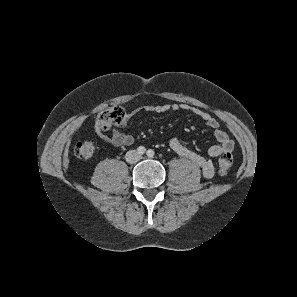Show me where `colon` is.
<instances>
[{
  "label": "colon",
  "instance_id": "1",
  "mask_svg": "<svg viewBox=\"0 0 297 297\" xmlns=\"http://www.w3.org/2000/svg\"><path fill=\"white\" fill-rule=\"evenodd\" d=\"M126 114L121 107H111L98 115L97 126L102 130H107L114 125H120L125 121ZM95 152V146L91 141L83 140L77 142L74 153L78 158L90 159ZM233 158L230 153H224L219 157L218 169L221 174H226L230 170Z\"/></svg>",
  "mask_w": 297,
  "mask_h": 297
}]
</instances>
